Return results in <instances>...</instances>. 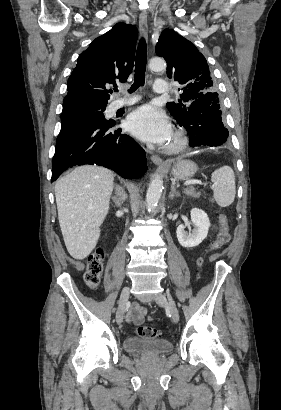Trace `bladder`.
Here are the masks:
<instances>
[{"mask_svg":"<svg viewBox=\"0 0 281 410\" xmlns=\"http://www.w3.org/2000/svg\"><path fill=\"white\" fill-rule=\"evenodd\" d=\"M123 345L127 353L145 358L161 357L172 351L173 348L172 343L168 340L137 337H127Z\"/></svg>","mask_w":281,"mask_h":410,"instance_id":"bladder-1","label":"bladder"}]
</instances>
